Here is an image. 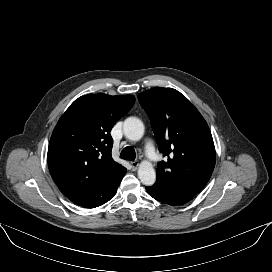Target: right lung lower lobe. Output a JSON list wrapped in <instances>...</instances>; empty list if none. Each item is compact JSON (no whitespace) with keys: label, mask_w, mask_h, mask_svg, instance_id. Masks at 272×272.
Here are the masks:
<instances>
[{"label":"right lung lower lobe","mask_w":272,"mask_h":272,"mask_svg":"<svg viewBox=\"0 0 272 272\" xmlns=\"http://www.w3.org/2000/svg\"><path fill=\"white\" fill-rule=\"evenodd\" d=\"M125 173L126 168L121 167L98 190L73 202L85 208H95L103 205L115 195Z\"/></svg>","instance_id":"obj_1"}]
</instances>
